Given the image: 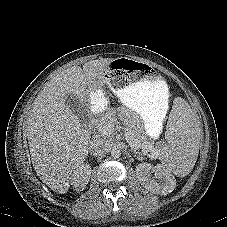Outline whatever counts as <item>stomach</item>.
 <instances>
[{"instance_id":"stomach-1","label":"stomach","mask_w":227,"mask_h":227,"mask_svg":"<svg viewBox=\"0 0 227 227\" xmlns=\"http://www.w3.org/2000/svg\"><path fill=\"white\" fill-rule=\"evenodd\" d=\"M104 79L124 106L141 115L146 135L156 137L168 109V87L157 68L138 58H122L107 66ZM88 96L96 112H104L108 108L99 84L88 88Z\"/></svg>"}]
</instances>
